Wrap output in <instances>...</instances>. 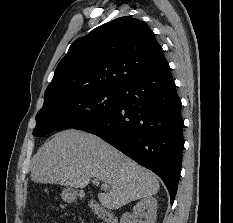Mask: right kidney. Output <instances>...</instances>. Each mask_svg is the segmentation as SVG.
Returning a JSON list of instances; mask_svg holds the SVG:
<instances>
[{"label": "right kidney", "instance_id": "1", "mask_svg": "<svg viewBox=\"0 0 233 223\" xmlns=\"http://www.w3.org/2000/svg\"><path fill=\"white\" fill-rule=\"evenodd\" d=\"M157 203L158 201L156 197H152V195L143 197V199H140V201L134 205L132 213H129V211L123 213L120 219V223H130L131 219L138 217V215L145 217L144 221H141V223H155L157 215Z\"/></svg>", "mask_w": 233, "mask_h": 223}]
</instances>
